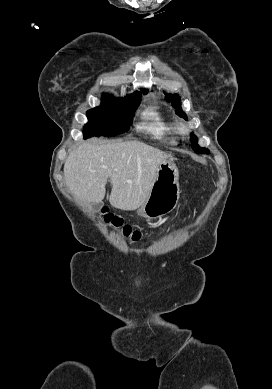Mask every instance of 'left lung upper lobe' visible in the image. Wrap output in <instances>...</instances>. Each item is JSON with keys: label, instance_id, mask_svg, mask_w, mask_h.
I'll return each instance as SVG.
<instances>
[{"label": "left lung upper lobe", "instance_id": "obj_1", "mask_svg": "<svg viewBox=\"0 0 272 389\" xmlns=\"http://www.w3.org/2000/svg\"><path fill=\"white\" fill-rule=\"evenodd\" d=\"M166 98L168 101H170L172 103L173 107H175L177 109V113L181 117H183L184 119H187L186 114L183 113V111L181 110V107H180V97L177 94H174V95H167ZM197 142H198L197 137L192 134L191 143H192V148L194 149V151L197 153H209L208 149L200 147L197 144Z\"/></svg>", "mask_w": 272, "mask_h": 389}]
</instances>
